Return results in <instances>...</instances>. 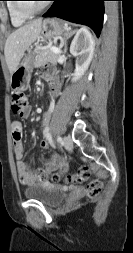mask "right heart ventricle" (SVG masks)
Instances as JSON below:
<instances>
[{
  "label": "right heart ventricle",
  "mask_w": 133,
  "mask_h": 253,
  "mask_svg": "<svg viewBox=\"0 0 133 253\" xmlns=\"http://www.w3.org/2000/svg\"><path fill=\"white\" fill-rule=\"evenodd\" d=\"M7 11L9 14L10 22L14 27L22 26L29 18L21 16L15 8V2L10 0L7 3Z\"/></svg>",
  "instance_id": "right-heart-ventricle-1"
}]
</instances>
